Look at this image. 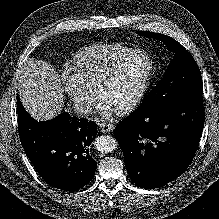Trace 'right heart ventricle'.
Returning a JSON list of instances; mask_svg holds the SVG:
<instances>
[{
  "instance_id": "e07e8e85",
  "label": "right heart ventricle",
  "mask_w": 219,
  "mask_h": 219,
  "mask_svg": "<svg viewBox=\"0 0 219 219\" xmlns=\"http://www.w3.org/2000/svg\"><path fill=\"white\" fill-rule=\"evenodd\" d=\"M132 50L121 43L99 44L78 51L72 59L74 73L89 87H96L106 69L120 56Z\"/></svg>"
}]
</instances>
